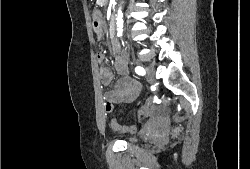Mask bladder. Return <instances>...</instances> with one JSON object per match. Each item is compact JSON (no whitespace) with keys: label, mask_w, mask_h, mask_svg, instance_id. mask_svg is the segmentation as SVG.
<instances>
[{"label":"bladder","mask_w":250,"mask_h":169,"mask_svg":"<svg viewBox=\"0 0 250 169\" xmlns=\"http://www.w3.org/2000/svg\"><path fill=\"white\" fill-rule=\"evenodd\" d=\"M139 134H129L125 138V144L127 145H135L136 143L140 142Z\"/></svg>","instance_id":"bladder-1"}]
</instances>
